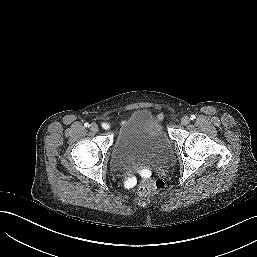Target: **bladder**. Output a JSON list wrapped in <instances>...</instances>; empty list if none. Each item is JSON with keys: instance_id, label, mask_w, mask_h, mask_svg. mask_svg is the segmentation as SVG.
Instances as JSON below:
<instances>
[{"instance_id": "bladder-1", "label": "bladder", "mask_w": 257, "mask_h": 257, "mask_svg": "<svg viewBox=\"0 0 257 257\" xmlns=\"http://www.w3.org/2000/svg\"><path fill=\"white\" fill-rule=\"evenodd\" d=\"M123 139L130 148L138 150L150 165H162L172 155L168 136L146 109L135 112L124 131Z\"/></svg>"}]
</instances>
